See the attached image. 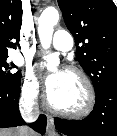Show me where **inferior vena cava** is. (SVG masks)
<instances>
[{
    "mask_svg": "<svg viewBox=\"0 0 117 136\" xmlns=\"http://www.w3.org/2000/svg\"><path fill=\"white\" fill-rule=\"evenodd\" d=\"M19 109H20L22 118L27 123L35 121L39 116V108L32 99L30 100L22 99L19 103ZM20 129L22 132L29 131L28 127L26 126H23Z\"/></svg>",
    "mask_w": 117,
    "mask_h": 136,
    "instance_id": "1",
    "label": "inferior vena cava"
}]
</instances>
